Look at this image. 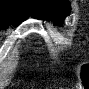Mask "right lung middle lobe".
Segmentation results:
<instances>
[{
	"label": "right lung middle lobe",
	"mask_w": 89,
	"mask_h": 89,
	"mask_svg": "<svg viewBox=\"0 0 89 89\" xmlns=\"http://www.w3.org/2000/svg\"><path fill=\"white\" fill-rule=\"evenodd\" d=\"M1 29L6 28V27H0Z\"/></svg>",
	"instance_id": "obj_1"
}]
</instances>
